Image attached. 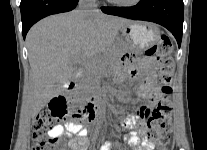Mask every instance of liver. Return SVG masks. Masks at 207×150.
<instances>
[{"label": "liver", "instance_id": "liver-1", "mask_svg": "<svg viewBox=\"0 0 207 150\" xmlns=\"http://www.w3.org/2000/svg\"><path fill=\"white\" fill-rule=\"evenodd\" d=\"M129 22L100 12L83 15L73 10L35 24L26 37L31 67L23 96L27 117L33 118L63 92L64 86L73 79L74 64H83L109 51L118 31Z\"/></svg>", "mask_w": 207, "mask_h": 150}]
</instances>
